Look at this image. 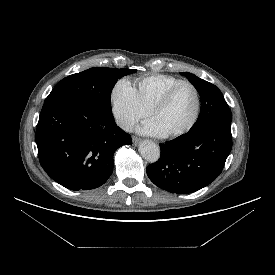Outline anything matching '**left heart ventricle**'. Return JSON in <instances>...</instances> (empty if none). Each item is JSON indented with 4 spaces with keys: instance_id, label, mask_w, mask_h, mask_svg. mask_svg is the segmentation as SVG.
Returning a JSON list of instances; mask_svg holds the SVG:
<instances>
[{
    "instance_id": "left-heart-ventricle-1",
    "label": "left heart ventricle",
    "mask_w": 275,
    "mask_h": 275,
    "mask_svg": "<svg viewBox=\"0 0 275 275\" xmlns=\"http://www.w3.org/2000/svg\"><path fill=\"white\" fill-rule=\"evenodd\" d=\"M196 109V96L189 86L180 87L163 109L153 119L165 134L184 128L192 119Z\"/></svg>"
}]
</instances>
